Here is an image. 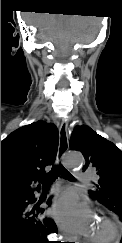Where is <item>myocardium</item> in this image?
Instances as JSON below:
<instances>
[{"label": "myocardium", "instance_id": "1", "mask_svg": "<svg viewBox=\"0 0 122 243\" xmlns=\"http://www.w3.org/2000/svg\"><path fill=\"white\" fill-rule=\"evenodd\" d=\"M98 222L102 224L103 228L98 234L91 235L90 241L92 243H109L118 233L117 225L106 216L100 217Z\"/></svg>", "mask_w": 122, "mask_h": 243}]
</instances>
